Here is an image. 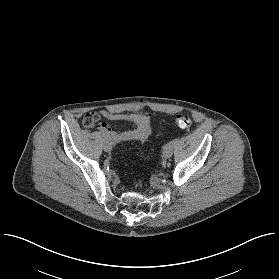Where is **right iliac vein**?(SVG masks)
Listing matches in <instances>:
<instances>
[{"label": "right iliac vein", "instance_id": "1", "mask_svg": "<svg viewBox=\"0 0 279 279\" xmlns=\"http://www.w3.org/2000/svg\"><path fill=\"white\" fill-rule=\"evenodd\" d=\"M103 149H104V151H106V152H109V151L112 150V144L110 143V141H108V140H105V141H104Z\"/></svg>", "mask_w": 279, "mask_h": 279}]
</instances>
